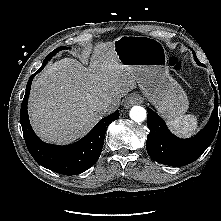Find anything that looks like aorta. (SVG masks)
Here are the masks:
<instances>
[{
    "mask_svg": "<svg viewBox=\"0 0 221 221\" xmlns=\"http://www.w3.org/2000/svg\"><path fill=\"white\" fill-rule=\"evenodd\" d=\"M146 110L141 106H133L130 110V118L135 122H142L146 119Z\"/></svg>",
    "mask_w": 221,
    "mask_h": 221,
    "instance_id": "1",
    "label": "aorta"
}]
</instances>
